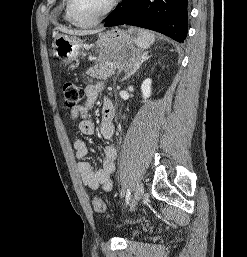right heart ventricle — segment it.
Segmentation results:
<instances>
[{
	"instance_id": "right-heart-ventricle-1",
	"label": "right heart ventricle",
	"mask_w": 247,
	"mask_h": 257,
	"mask_svg": "<svg viewBox=\"0 0 247 257\" xmlns=\"http://www.w3.org/2000/svg\"><path fill=\"white\" fill-rule=\"evenodd\" d=\"M62 2H63V6H64L63 18L65 21L72 23L69 15H68V12H67V0H62Z\"/></svg>"
}]
</instances>
